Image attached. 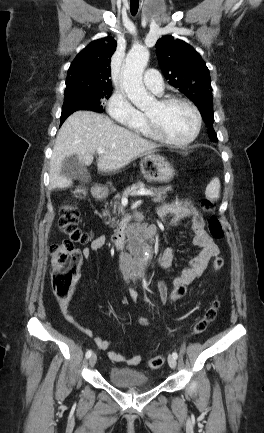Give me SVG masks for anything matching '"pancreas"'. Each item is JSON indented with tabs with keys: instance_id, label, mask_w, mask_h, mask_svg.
I'll use <instances>...</instances> for the list:
<instances>
[{
	"instance_id": "obj_1",
	"label": "pancreas",
	"mask_w": 264,
	"mask_h": 433,
	"mask_svg": "<svg viewBox=\"0 0 264 433\" xmlns=\"http://www.w3.org/2000/svg\"><path fill=\"white\" fill-rule=\"evenodd\" d=\"M142 189H145V185L143 182L138 181L137 183L133 184L130 187H127L123 192H122V197H128V196H134L136 195V193ZM151 191H153V194L151 195V197L153 198L154 202H163L166 194H167V189L166 188H161V187H150L149 188ZM121 198L120 194H117L114 197V202H111V206L113 207V213L120 216V215H124V208L121 206L119 199ZM109 215V211L106 209L103 212V216H107ZM116 218H113L111 220V226H115V222L118 223V221H115Z\"/></svg>"
}]
</instances>
